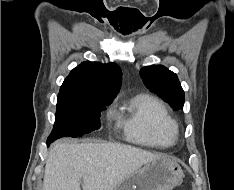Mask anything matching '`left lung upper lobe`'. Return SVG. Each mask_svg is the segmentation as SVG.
Instances as JSON below:
<instances>
[{
  "instance_id": "obj_1",
  "label": "left lung upper lobe",
  "mask_w": 234,
  "mask_h": 190,
  "mask_svg": "<svg viewBox=\"0 0 234 190\" xmlns=\"http://www.w3.org/2000/svg\"><path fill=\"white\" fill-rule=\"evenodd\" d=\"M141 78L150 91L168 102L175 110L184 105V91L177 75L162 65H152L140 70Z\"/></svg>"
}]
</instances>
